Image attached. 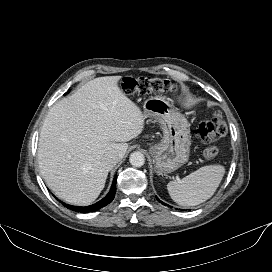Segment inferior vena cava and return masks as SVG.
I'll return each mask as SVG.
<instances>
[{"label":"inferior vena cava","mask_w":272,"mask_h":272,"mask_svg":"<svg viewBox=\"0 0 272 272\" xmlns=\"http://www.w3.org/2000/svg\"><path fill=\"white\" fill-rule=\"evenodd\" d=\"M119 160H120V156L116 151H109L102 157L103 163L109 166L116 165Z\"/></svg>","instance_id":"602c4592"}]
</instances>
